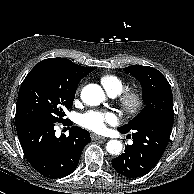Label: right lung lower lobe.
I'll use <instances>...</instances> for the list:
<instances>
[{"mask_svg":"<svg viewBox=\"0 0 194 194\" xmlns=\"http://www.w3.org/2000/svg\"><path fill=\"white\" fill-rule=\"evenodd\" d=\"M52 122L44 118L16 121L18 138L24 155L41 175L56 179L71 174L77 167L83 148L91 141L86 130L72 126L69 136H55ZM63 124L72 125L70 120Z\"/></svg>","mask_w":194,"mask_h":194,"instance_id":"1","label":"right lung lower lobe"}]
</instances>
